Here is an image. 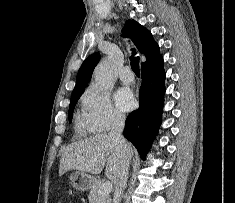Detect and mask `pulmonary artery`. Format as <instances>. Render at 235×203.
I'll return each instance as SVG.
<instances>
[{"label":"pulmonary artery","instance_id":"pulmonary-artery-1","mask_svg":"<svg viewBox=\"0 0 235 203\" xmlns=\"http://www.w3.org/2000/svg\"><path fill=\"white\" fill-rule=\"evenodd\" d=\"M119 78L125 84H129V83H132L134 81V75L131 72V69L129 67H127V66L124 67L120 71Z\"/></svg>","mask_w":235,"mask_h":203}]
</instances>
